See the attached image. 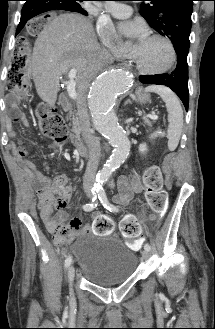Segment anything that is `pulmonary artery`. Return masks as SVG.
Listing matches in <instances>:
<instances>
[{
  "instance_id": "obj_1",
  "label": "pulmonary artery",
  "mask_w": 215,
  "mask_h": 329,
  "mask_svg": "<svg viewBox=\"0 0 215 329\" xmlns=\"http://www.w3.org/2000/svg\"><path fill=\"white\" fill-rule=\"evenodd\" d=\"M105 9L116 18H127L132 14V7L123 3H110Z\"/></svg>"
}]
</instances>
